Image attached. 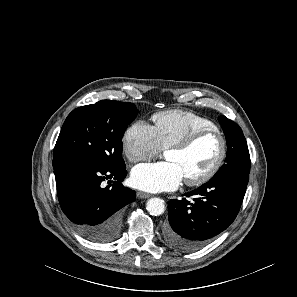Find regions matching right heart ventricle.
I'll use <instances>...</instances> for the list:
<instances>
[{"instance_id": "e07e8e85", "label": "right heart ventricle", "mask_w": 297, "mask_h": 297, "mask_svg": "<svg viewBox=\"0 0 297 297\" xmlns=\"http://www.w3.org/2000/svg\"><path fill=\"white\" fill-rule=\"evenodd\" d=\"M153 122L161 148L169 147L176 140L194 131L216 128V125L209 119L183 110L156 113L153 116Z\"/></svg>"}]
</instances>
